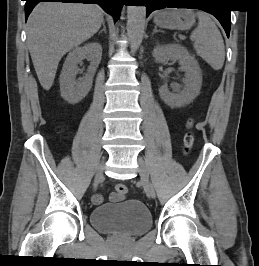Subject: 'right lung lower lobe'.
<instances>
[{
    "label": "right lung lower lobe",
    "mask_w": 259,
    "mask_h": 266,
    "mask_svg": "<svg viewBox=\"0 0 259 266\" xmlns=\"http://www.w3.org/2000/svg\"><path fill=\"white\" fill-rule=\"evenodd\" d=\"M25 18L27 20L29 14L36 4L39 2H62V3H84L99 4L107 13L112 15L115 21L118 20L122 5L125 0H25Z\"/></svg>",
    "instance_id": "right-lung-lower-lobe-1"
}]
</instances>
